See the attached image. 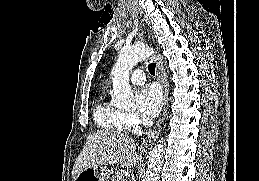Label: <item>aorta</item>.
Instances as JSON below:
<instances>
[{
  "label": "aorta",
  "mask_w": 259,
  "mask_h": 181,
  "mask_svg": "<svg viewBox=\"0 0 259 181\" xmlns=\"http://www.w3.org/2000/svg\"><path fill=\"white\" fill-rule=\"evenodd\" d=\"M151 53L152 50L145 44H135L120 50L111 72L113 82L111 102L114 106L128 109L135 107L134 93L129 84V73L138 62L147 58ZM164 149L165 143L162 138L150 152L144 181L159 180L164 162Z\"/></svg>",
  "instance_id": "obj_1"
}]
</instances>
